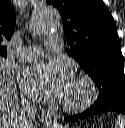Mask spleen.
<instances>
[{
    "label": "spleen",
    "mask_w": 125,
    "mask_h": 128,
    "mask_svg": "<svg viewBox=\"0 0 125 128\" xmlns=\"http://www.w3.org/2000/svg\"><path fill=\"white\" fill-rule=\"evenodd\" d=\"M115 128H125V115H119L115 122Z\"/></svg>",
    "instance_id": "3e777b00"
}]
</instances>
